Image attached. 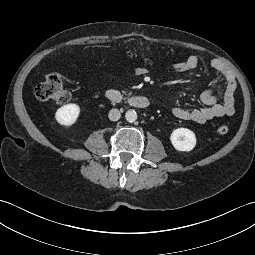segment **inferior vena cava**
<instances>
[{"instance_id": "602c4592", "label": "inferior vena cava", "mask_w": 255, "mask_h": 255, "mask_svg": "<svg viewBox=\"0 0 255 255\" xmlns=\"http://www.w3.org/2000/svg\"><path fill=\"white\" fill-rule=\"evenodd\" d=\"M108 117L111 121H117L121 117V113L118 109H111L109 111Z\"/></svg>"}]
</instances>
